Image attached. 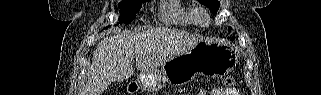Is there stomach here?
Wrapping results in <instances>:
<instances>
[{
	"label": "stomach",
	"mask_w": 321,
	"mask_h": 95,
	"mask_svg": "<svg viewBox=\"0 0 321 95\" xmlns=\"http://www.w3.org/2000/svg\"><path fill=\"white\" fill-rule=\"evenodd\" d=\"M236 64V56L227 45L202 40L191 50L179 54L160 66L159 70L141 72L137 78V87L154 91L166 83L183 85L197 75L220 77L228 74Z\"/></svg>",
	"instance_id": "1"
}]
</instances>
